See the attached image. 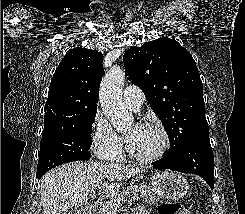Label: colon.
Returning <instances> with one entry per match:
<instances>
[{"label":"colon","instance_id":"colon-1","mask_svg":"<svg viewBox=\"0 0 245 214\" xmlns=\"http://www.w3.org/2000/svg\"><path fill=\"white\" fill-rule=\"evenodd\" d=\"M159 214H191L180 209L178 202H164L159 206Z\"/></svg>","mask_w":245,"mask_h":214}]
</instances>
